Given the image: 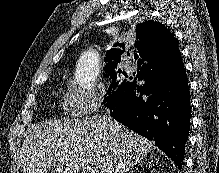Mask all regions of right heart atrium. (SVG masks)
<instances>
[{
	"instance_id": "1",
	"label": "right heart atrium",
	"mask_w": 219,
	"mask_h": 173,
	"mask_svg": "<svg viewBox=\"0 0 219 173\" xmlns=\"http://www.w3.org/2000/svg\"><path fill=\"white\" fill-rule=\"evenodd\" d=\"M66 100L72 114L87 117L103 105L105 92L88 91L73 82L67 88Z\"/></svg>"
}]
</instances>
